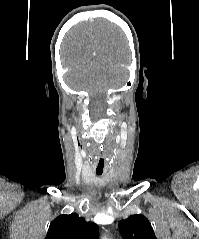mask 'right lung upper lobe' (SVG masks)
I'll return each mask as SVG.
<instances>
[{
  "mask_svg": "<svg viewBox=\"0 0 199 239\" xmlns=\"http://www.w3.org/2000/svg\"><path fill=\"white\" fill-rule=\"evenodd\" d=\"M98 226L72 213L53 220L45 239H98Z\"/></svg>",
  "mask_w": 199,
  "mask_h": 239,
  "instance_id": "right-lung-upper-lobe-1",
  "label": "right lung upper lobe"
}]
</instances>
